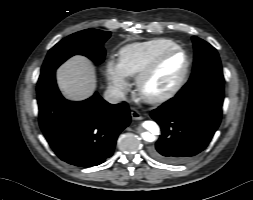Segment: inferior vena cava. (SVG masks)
Listing matches in <instances>:
<instances>
[{"instance_id": "1", "label": "inferior vena cava", "mask_w": 253, "mask_h": 200, "mask_svg": "<svg viewBox=\"0 0 253 200\" xmlns=\"http://www.w3.org/2000/svg\"><path fill=\"white\" fill-rule=\"evenodd\" d=\"M104 99L111 104H117L125 100V94L118 88L109 87L104 93Z\"/></svg>"}]
</instances>
